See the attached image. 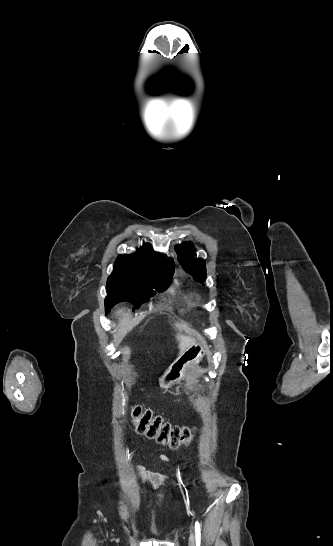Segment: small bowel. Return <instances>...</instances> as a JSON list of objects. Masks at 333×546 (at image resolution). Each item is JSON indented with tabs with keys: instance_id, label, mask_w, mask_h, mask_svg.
Returning <instances> with one entry per match:
<instances>
[{
	"instance_id": "c3829d8e",
	"label": "small bowel",
	"mask_w": 333,
	"mask_h": 546,
	"mask_svg": "<svg viewBox=\"0 0 333 546\" xmlns=\"http://www.w3.org/2000/svg\"><path fill=\"white\" fill-rule=\"evenodd\" d=\"M160 458L164 461H171L172 458L167 454H162ZM138 475L143 485L150 489H159L167 480V476L161 473H150L144 470L142 466L137 467Z\"/></svg>"
}]
</instances>
